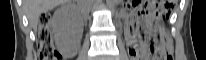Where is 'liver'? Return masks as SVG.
I'll use <instances>...</instances> for the list:
<instances>
[{
  "instance_id": "obj_1",
  "label": "liver",
  "mask_w": 206,
  "mask_h": 60,
  "mask_svg": "<svg viewBox=\"0 0 206 60\" xmlns=\"http://www.w3.org/2000/svg\"><path fill=\"white\" fill-rule=\"evenodd\" d=\"M64 0H24V8L27 14L29 25L37 28L40 15L54 7L62 4Z\"/></svg>"
}]
</instances>
